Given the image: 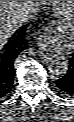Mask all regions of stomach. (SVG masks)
<instances>
[{
	"label": "stomach",
	"instance_id": "obj_1",
	"mask_svg": "<svg viewBox=\"0 0 74 122\" xmlns=\"http://www.w3.org/2000/svg\"><path fill=\"white\" fill-rule=\"evenodd\" d=\"M57 33L60 34L61 36L65 37V38H68V39H71V37H72L70 32L66 31L64 28L58 29Z\"/></svg>",
	"mask_w": 74,
	"mask_h": 122
}]
</instances>
